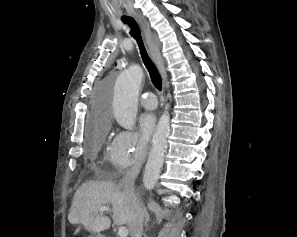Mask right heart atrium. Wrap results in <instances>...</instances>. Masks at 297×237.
<instances>
[{
    "mask_svg": "<svg viewBox=\"0 0 297 237\" xmlns=\"http://www.w3.org/2000/svg\"><path fill=\"white\" fill-rule=\"evenodd\" d=\"M109 153L112 164L123 171L144 161L147 143L135 132L119 131L110 144Z\"/></svg>",
    "mask_w": 297,
    "mask_h": 237,
    "instance_id": "right-heart-atrium-1",
    "label": "right heart atrium"
}]
</instances>
